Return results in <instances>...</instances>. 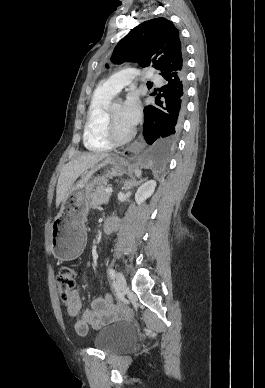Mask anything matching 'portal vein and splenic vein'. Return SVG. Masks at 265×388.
<instances>
[{"label": "portal vein and splenic vein", "mask_w": 265, "mask_h": 388, "mask_svg": "<svg viewBox=\"0 0 265 388\" xmlns=\"http://www.w3.org/2000/svg\"><path fill=\"white\" fill-rule=\"evenodd\" d=\"M105 192H107V194H112L113 190L112 188H105Z\"/></svg>", "instance_id": "portal-vein-and-splenic-vein-1"}]
</instances>
